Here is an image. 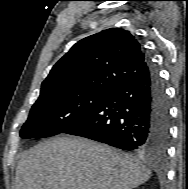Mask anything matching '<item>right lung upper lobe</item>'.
<instances>
[{
  "mask_svg": "<svg viewBox=\"0 0 188 189\" xmlns=\"http://www.w3.org/2000/svg\"><path fill=\"white\" fill-rule=\"evenodd\" d=\"M147 72L140 43L130 32L111 28L77 42L42 82L40 97L92 88L114 90Z\"/></svg>",
  "mask_w": 188,
  "mask_h": 189,
  "instance_id": "right-lung-upper-lobe-1",
  "label": "right lung upper lobe"
}]
</instances>
